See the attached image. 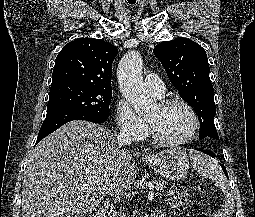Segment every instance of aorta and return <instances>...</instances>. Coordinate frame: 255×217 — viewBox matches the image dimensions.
<instances>
[{
    "instance_id": "762f6f07",
    "label": "aorta",
    "mask_w": 255,
    "mask_h": 217,
    "mask_svg": "<svg viewBox=\"0 0 255 217\" xmlns=\"http://www.w3.org/2000/svg\"><path fill=\"white\" fill-rule=\"evenodd\" d=\"M142 69L140 53L130 51L122 57L117 71L120 90L138 115H144L156 105V101L145 90Z\"/></svg>"
}]
</instances>
